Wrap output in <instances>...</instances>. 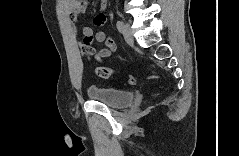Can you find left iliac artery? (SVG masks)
<instances>
[{
    "instance_id": "44dca946",
    "label": "left iliac artery",
    "mask_w": 239,
    "mask_h": 156,
    "mask_svg": "<svg viewBox=\"0 0 239 156\" xmlns=\"http://www.w3.org/2000/svg\"><path fill=\"white\" fill-rule=\"evenodd\" d=\"M116 26H117V29H118L120 32L123 31V22H122V21L118 20V21L116 22Z\"/></svg>"
}]
</instances>
